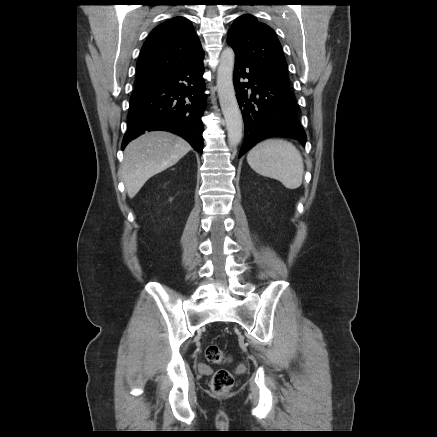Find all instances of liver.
I'll use <instances>...</instances> for the list:
<instances>
[{"label":"liver","mask_w":437,"mask_h":437,"mask_svg":"<svg viewBox=\"0 0 437 437\" xmlns=\"http://www.w3.org/2000/svg\"><path fill=\"white\" fill-rule=\"evenodd\" d=\"M191 150L180 136L151 131L131 141L124 150L121 177L129 198L135 197L148 179L175 165Z\"/></svg>","instance_id":"6515ba94"}]
</instances>
